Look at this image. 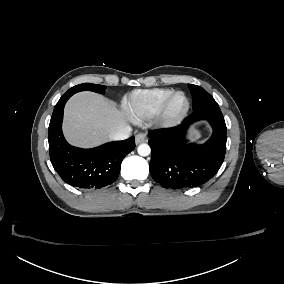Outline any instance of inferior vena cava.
Instances as JSON below:
<instances>
[{
    "label": "inferior vena cava",
    "mask_w": 284,
    "mask_h": 284,
    "mask_svg": "<svg viewBox=\"0 0 284 284\" xmlns=\"http://www.w3.org/2000/svg\"><path fill=\"white\" fill-rule=\"evenodd\" d=\"M131 131H132V128L130 126L126 125L120 131L116 132L112 136V140H125V139L129 138Z\"/></svg>",
    "instance_id": "602c4592"
}]
</instances>
